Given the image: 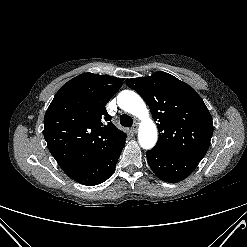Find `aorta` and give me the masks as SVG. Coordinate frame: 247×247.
Masks as SVG:
<instances>
[{
  "mask_svg": "<svg viewBox=\"0 0 247 247\" xmlns=\"http://www.w3.org/2000/svg\"><path fill=\"white\" fill-rule=\"evenodd\" d=\"M117 104L122 110L142 120L138 132L139 144L143 149L153 148L157 142L158 132L143 99L133 91L124 90L118 94Z\"/></svg>",
  "mask_w": 247,
  "mask_h": 247,
  "instance_id": "762f6f07",
  "label": "aorta"
}]
</instances>
